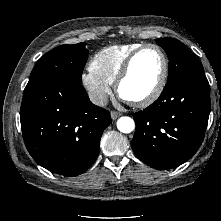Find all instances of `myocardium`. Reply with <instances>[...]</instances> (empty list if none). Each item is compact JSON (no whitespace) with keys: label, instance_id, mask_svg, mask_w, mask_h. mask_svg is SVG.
<instances>
[{"label":"myocardium","instance_id":"1","mask_svg":"<svg viewBox=\"0 0 221 221\" xmlns=\"http://www.w3.org/2000/svg\"><path fill=\"white\" fill-rule=\"evenodd\" d=\"M147 48H154L161 55L162 71H161L159 81H158L156 87L154 88V90L148 96H146L142 99H139V100H128V99L124 98V96L122 95L121 86H122L123 82L126 80V78L129 76L132 66H133V63H134L135 59L137 58V56ZM168 72H169V62H168V58H167V55L164 52V50L159 45L154 44V43L142 44L141 46L136 48L134 51H132L129 54V56L127 57L126 61L124 62L123 66H122V68H121V70L115 80L116 92L120 98L128 101L129 103H131L132 105H134L136 107H147V106L151 105L152 103H154L163 93L164 88L167 83Z\"/></svg>","mask_w":221,"mask_h":221}]
</instances>
